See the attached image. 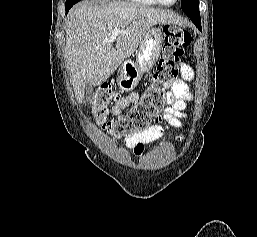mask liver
Wrapping results in <instances>:
<instances>
[{
	"instance_id": "6515ba94",
	"label": "liver",
	"mask_w": 257,
	"mask_h": 237,
	"mask_svg": "<svg viewBox=\"0 0 257 237\" xmlns=\"http://www.w3.org/2000/svg\"><path fill=\"white\" fill-rule=\"evenodd\" d=\"M177 22L169 11L134 3L85 2L74 7L66 29V49L77 101L84 99L86 83L100 85L133 54L153 25ZM114 29L126 32L116 37L115 47L107 41Z\"/></svg>"
}]
</instances>
